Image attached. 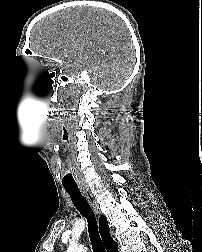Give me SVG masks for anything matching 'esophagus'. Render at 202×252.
Wrapping results in <instances>:
<instances>
[{
  "label": "esophagus",
  "mask_w": 202,
  "mask_h": 252,
  "mask_svg": "<svg viewBox=\"0 0 202 252\" xmlns=\"http://www.w3.org/2000/svg\"><path fill=\"white\" fill-rule=\"evenodd\" d=\"M80 190H81L82 194L84 195V197L89 202V204L91 205L95 214H99L97 202H96L94 196L92 195V193L90 192L89 188L88 187H81Z\"/></svg>",
  "instance_id": "34e87169"
}]
</instances>
